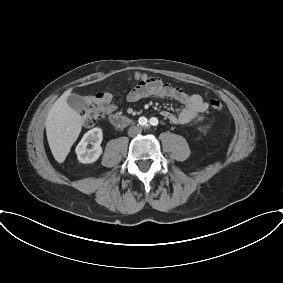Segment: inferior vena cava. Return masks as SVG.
Here are the masks:
<instances>
[{
	"mask_svg": "<svg viewBox=\"0 0 283 283\" xmlns=\"http://www.w3.org/2000/svg\"><path fill=\"white\" fill-rule=\"evenodd\" d=\"M142 132V129L140 127H137V126H133V127H130L129 130H128V135L130 137H134L136 136L137 134L141 133Z\"/></svg>",
	"mask_w": 283,
	"mask_h": 283,
	"instance_id": "1",
	"label": "inferior vena cava"
}]
</instances>
